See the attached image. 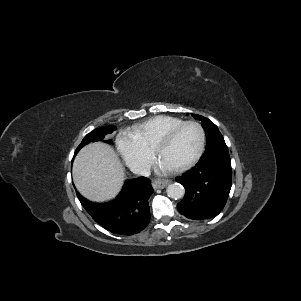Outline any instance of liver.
I'll use <instances>...</instances> for the list:
<instances>
[{"instance_id":"1","label":"liver","mask_w":301,"mask_h":301,"mask_svg":"<svg viewBox=\"0 0 301 301\" xmlns=\"http://www.w3.org/2000/svg\"><path fill=\"white\" fill-rule=\"evenodd\" d=\"M73 180L85 198L103 202L119 193L124 182V168L108 144L94 142L77 154L73 163Z\"/></svg>"}]
</instances>
